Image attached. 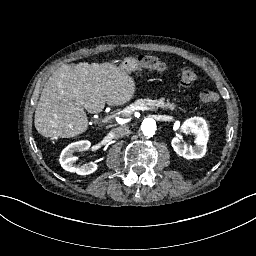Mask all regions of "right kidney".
Returning a JSON list of instances; mask_svg holds the SVG:
<instances>
[{"instance_id":"ca27d5eb","label":"right kidney","mask_w":256,"mask_h":256,"mask_svg":"<svg viewBox=\"0 0 256 256\" xmlns=\"http://www.w3.org/2000/svg\"><path fill=\"white\" fill-rule=\"evenodd\" d=\"M90 145L91 143L88 140H81L68 145L62 151L59 158L62 168L70 173H76L77 175L81 176L93 174L98 169V165L96 163H90L85 166H76L75 163L77 158L73 157L74 152L78 150H89Z\"/></svg>"}]
</instances>
